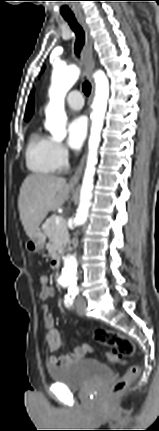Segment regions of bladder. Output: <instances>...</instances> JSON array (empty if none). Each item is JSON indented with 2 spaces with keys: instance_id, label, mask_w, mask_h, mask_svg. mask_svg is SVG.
Wrapping results in <instances>:
<instances>
[{
  "instance_id": "obj_1",
  "label": "bladder",
  "mask_w": 159,
  "mask_h": 431,
  "mask_svg": "<svg viewBox=\"0 0 159 431\" xmlns=\"http://www.w3.org/2000/svg\"><path fill=\"white\" fill-rule=\"evenodd\" d=\"M48 377L53 383L77 390L111 376V369L94 359H78L63 366H50Z\"/></svg>"
}]
</instances>
